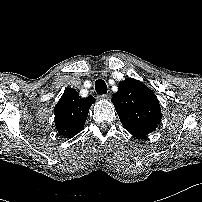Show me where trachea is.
<instances>
[{
  "mask_svg": "<svg viewBox=\"0 0 202 202\" xmlns=\"http://www.w3.org/2000/svg\"><path fill=\"white\" fill-rule=\"evenodd\" d=\"M95 90L98 94H106L107 93V85L104 80L98 79L95 82Z\"/></svg>",
  "mask_w": 202,
  "mask_h": 202,
  "instance_id": "3493384b",
  "label": "trachea"
}]
</instances>
